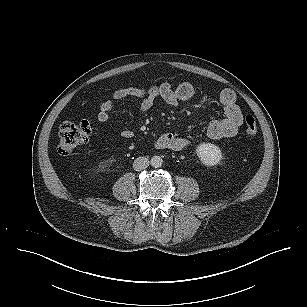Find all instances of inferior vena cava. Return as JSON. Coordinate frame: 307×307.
Instances as JSON below:
<instances>
[{
	"instance_id": "1",
	"label": "inferior vena cava",
	"mask_w": 307,
	"mask_h": 307,
	"mask_svg": "<svg viewBox=\"0 0 307 307\" xmlns=\"http://www.w3.org/2000/svg\"><path fill=\"white\" fill-rule=\"evenodd\" d=\"M149 166V159L146 157H138L134 160L133 168L136 171H141Z\"/></svg>"
}]
</instances>
